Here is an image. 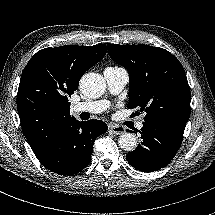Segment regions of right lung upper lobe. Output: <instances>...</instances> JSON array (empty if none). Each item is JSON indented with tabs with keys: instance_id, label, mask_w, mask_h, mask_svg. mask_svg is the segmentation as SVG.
Listing matches in <instances>:
<instances>
[{
	"instance_id": "1",
	"label": "right lung upper lobe",
	"mask_w": 215,
	"mask_h": 215,
	"mask_svg": "<svg viewBox=\"0 0 215 215\" xmlns=\"http://www.w3.org/2000/svg\"><path fill=\"white\" fill-rule=\"evenodd\" d=\"M106 44L66 45L38 51L24 68L17 109L23 134L36 156L71 120L68 96L78 89L82 75L106 54Z\"/></svg>"
}]
</instances>
